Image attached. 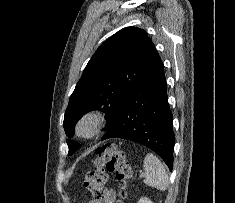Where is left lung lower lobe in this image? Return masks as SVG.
<instances>
[{"instance_id": "left-lung-lower-lobe-1", "label": "left lung lower lobe", "mask_w": 235, "mask_h": 203, "mask_svg": "<svg viewBox=\"0 0 235 203\" xmlns=\"http://www.w3.org/2000/svg\"><path fill=\"white\" fill-rule=\"evenodd\" d=\"M172 120L164 66L157 54L101 140L122 138L143 144L171 171L175 142Z\"/></svg>"}]
</instances>
